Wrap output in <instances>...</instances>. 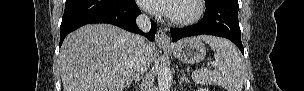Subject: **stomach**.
I'll return each mask as SVG.
<instances>
[{
    "label": "stomach",
    "mask_w": 304,
    "mask_h": 91,
    "mask_svg": "<svg viewBox=\"0 0 304 91\" xmlns=\"http://www.w3.org/2000/svg\"><path fill=\"white\" fill-rule=\"evenodd\" d=\"M169 49L175 58L188 64L199 63L206 57V48L196 37L184 38Z\"/></svg>",
    "instance_id": "0dacf381"
}]
</instances>
